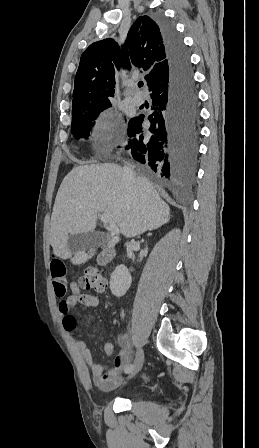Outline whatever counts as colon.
Masks as SVG:
<instances>
[{
  "label": "colon",
  "instance_id": "1",
  "mask_svg": "<svg viewBox=\"0 0 259 448\" xmlns=\"http://www.w3.org/2000/svg\"><path fill=\"white\" fill-rule=\"evenodd\" d=\"M80 286L85 290L104 292L107 288V281L98 268L89 267L80 279Z\"/></svg>",
  "mask_w": 259,
  "mask_h": 448
}]
</instances>
